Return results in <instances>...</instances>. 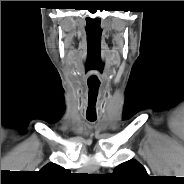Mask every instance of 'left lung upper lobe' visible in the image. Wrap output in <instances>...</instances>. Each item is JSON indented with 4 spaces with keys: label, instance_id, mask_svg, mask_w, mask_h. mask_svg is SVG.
<instances>
[{
    "label": "left lung upper lobe",
    "instance_id": "left-lung-upper-lobe-1",
    "mask_svg": "<svg viewBox=\"0 0 184 184\" xmlns=\"http://www.w3.org/2000/svg\"><path fill=\"white\" fill-rule=\"evenodd\" d=\"M112 176L118 184H142L148 178L145 168L133 159L115 167Z\"/></svg>",
    "mask_w": 184,
    "mask_h": 184
}]
</instances>
